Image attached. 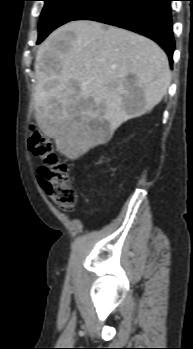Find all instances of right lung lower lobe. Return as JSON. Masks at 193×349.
<instances>
[{
  "label": "right lung lower lobe",
  "mask_w": 193,
  "mask_h": 349,
  "mask_svg": "<svg viewBox=\"0 0 193 349\" xmlns=\"http://www.w3.org/2000/svg\"><path fill=\"white\" fill-rule=\"evenodd\" d=\"M170 1L96 0L73 20H93L144 35L158 43L173 63L174 38Z\"/></svg>",
  "instance_id": "1"
}]
</instances>
